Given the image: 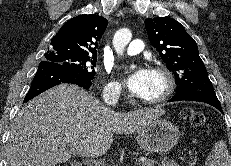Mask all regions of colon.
I'll return each instance as SVG.
<instances>
[{"instance_id":"obj_1","label":"colon","mask_w":231,"mask_h":166,"mask_svg":"<svg viewBox=\"0 0 231 166\" xmlns=\"http://www.w3.org/2000/svg\"><path fill=\"white\" fill-rule=\"evenodd\" d=\"M182 116L185 120L191 122L194 125H203L206 122V116L204 113L193 110L191 108H185L182 111Z\"/></svg>"}]
</instances>
